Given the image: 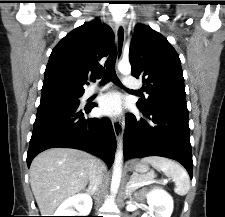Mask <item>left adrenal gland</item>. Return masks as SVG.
Returning <instances> with one entry per match:
<instances>
[{"label": "left adrenal gland", "instance_id": "obj_1", "mask_svg": "<svg viewBox=\"0 0 225 217\" xmlns=\"http://www.w3.org/2000/svg\"><path fill=\"white\" fill-rule=\"evenodd\" d=\"M125 194H126V197H128L130 200L133 199V198H132V191H131V189H130V187H129L128 184L126 185Z\"/></svg>", "mask_w": 225, "mask_h": 217}]
</instances>
